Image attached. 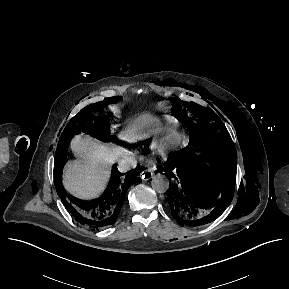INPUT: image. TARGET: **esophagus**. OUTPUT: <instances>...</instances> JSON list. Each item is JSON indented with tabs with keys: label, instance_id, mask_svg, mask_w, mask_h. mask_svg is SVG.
I'll return each instance as SVG.
<instances>
[{
	"label": "esophagus",
	"instance_id": "1",
	"mask_svg": "<svg viewBox=\"0 0 289 289\" xmlns=\"http://www.w3.org/2000/svg\"><path fill=\"white\" fill-rule=\"evenodd\" d=\"M155 173L152 169H147L143 172L142 179L148 181L154 177Z\"/></svg>",
	"mask_w": 289,
	"mask_h": 289
}]
</instances>
